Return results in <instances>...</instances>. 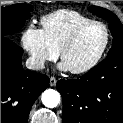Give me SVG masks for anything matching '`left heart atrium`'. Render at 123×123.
Returning <instances> with one entry per match:
<instances>
[{"label": "left heart atrium", "mask_w": 123, "mask_h": 123, "mask_svg": "<svg viewBox=\"0 0 123 123\" xmlns=\"http://www.w3.org/2000/svg\"><path fill=\"white\" fill-rule=\"evenodd\" d=\"M59 67H60L61 70H68V69H69V68L67 67V65H66L64 62H62V63L59 65Z\"/></svg>", "instance_id": "1"}]
</instances>
